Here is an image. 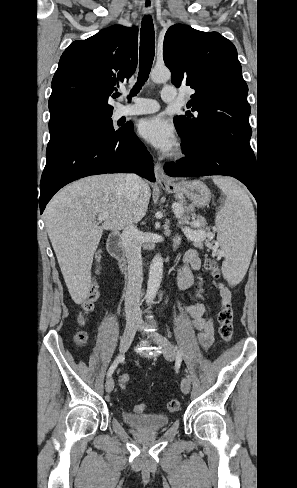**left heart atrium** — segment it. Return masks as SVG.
<instances>
[{
	"label": "left heart atrium",
	"mask_w": 297,
	"mask_h": 488,
	"mask_svg": "<svg viewBox=\"0 0 297 488\" xmlns=\"http://www.w3.org/2000/svg\"><path fill=\"white\" fill-rule=\"evenodd\" d=\"M139 134L163 153L171 152L177 144L174 126L162 116H153L139 125Z\"/></svg>",
	"instance_id": "left-heart-atrium-1"
}]
</instances>
